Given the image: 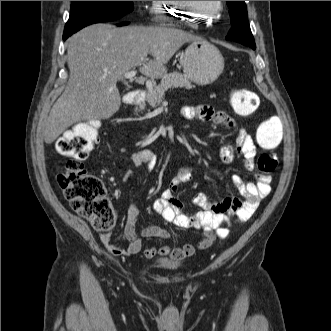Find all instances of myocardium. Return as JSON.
<instances>
[{"label":"myocardium","mask_w":331,"mask_h":331,"mask_svg":"<svg viewBox=\"0 0 331 331\" xmlns=\"http://www.w3.org/2000/svg\"><path fill=\"white\" fill-rule=\"evenodd\" d=\"M188 10L187 17L196 19L211 18L219 14L223 9V1H216V9L213 13H204L196 7L193 1H179Z\"/></svg>","instance_id":"f54148a6"}]
</instances>
